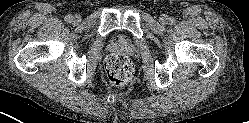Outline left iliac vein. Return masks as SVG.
I'll return each mask as SVG.
<instances>
[{
	"instance_id": "left-iliac-vein-1",
	"label": "left iliac vein",
	"mask_w": 249,
	"mask_h": 123,
	"mask_svg": "<svg viewBox=\"0 0 249 123\" xmlns=\"http://www.w3.org/2000/svg\"><path fill=\"white\" fill-rule=\"evenodd\" d=\"M159 21L162 25H166L169 22V18L167 15L163 14L160 16Z\"/></svg>"
}]
</instances>
